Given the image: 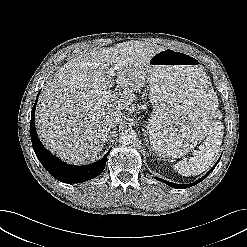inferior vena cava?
<instances>
[{
    "label": "inferior vena cava",
    "mask_w": 247,
    "mask_h": 247,
    "mask_svg": "<svg viewBox=\"0 0 247 247\" xmlns=\"http://www.w3.org/2000/svg\"><path fill=\"white\" fill-rule=\"evenodd\" d=\"M121 120V114L119 113H111L109 115L106 116V125L109 128H113L115 127Z\"/></svg>",
    "instance_id": "602c4592"
}]
</instances>
